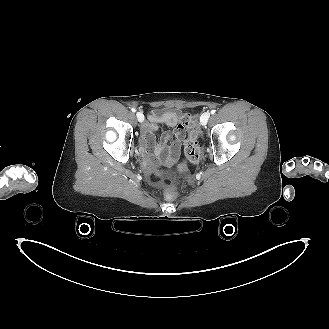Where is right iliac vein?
I'll use <instances>...</instances> for the list:
<instances>
[{
  "instance_id": "right-iliac-vein-1",
  "label": "right iliac vein",
  "mask_w": 329,
  "mask_h": 329,
  "mask_svg": "<svg viewBox=\"0 0 329 329\" xmlns=\"http://www.w3.org/2000/svg\"><path fill=\"white\" fill-rule=\"evenodd\" d=\"M137 120L142 123L144 121V115L141 112L136 113Z\"/></svg>"
}]
</instances>
